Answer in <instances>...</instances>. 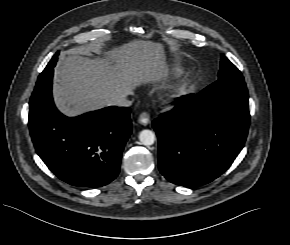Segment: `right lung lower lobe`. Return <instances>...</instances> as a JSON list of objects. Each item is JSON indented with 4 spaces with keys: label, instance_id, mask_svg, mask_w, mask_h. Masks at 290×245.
<instances>
[{
    "label": "right lung lower lobe",
    "instance_id": "right-lung-lower-lobe-1",
    "mask_svg": "<svg viewBox=\"0 0 290 245\" xmlns=\"http://www.w3.org/2000/svg\"><path fill=\"white\" fill-rule=\"evenodd\" d=\"M53 68L39 75L29 102V130L36 152L61 180L101 187L114 180L132 132L129 107L110 106L77 117L60 113L52 99Z\"/></svg>",
    "mask_w": 290,
    "mask_h": 245
}]
</instances>
